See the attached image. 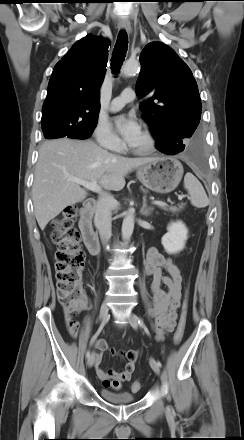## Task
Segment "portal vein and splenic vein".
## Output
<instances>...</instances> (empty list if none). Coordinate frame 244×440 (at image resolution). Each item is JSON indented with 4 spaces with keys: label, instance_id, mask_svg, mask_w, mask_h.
Instances as JSON below:
<instances>
[{
    "label": "portal vein and splenic vein",
    "instance_id": "1",
    "mask_svg": "<svg viewBox=\"0 0 244 440\" xmlns=\"http://www.w3.org/2000/svg\"><path fill=\"white\" fill-rule=\"evenodd\" d=\"M73 182L82 185L84 188L93 191L95 193H101V187L98 186L97 182L95 180L92 181H85L81 179H72ZM184 198V195H178V199L182 200ZM153 204L159 205V206H167L165 202L162 201H153Z\"/></svg>",
    "mask_w": 244,
    "mask_h": 440
}]
</instances>
